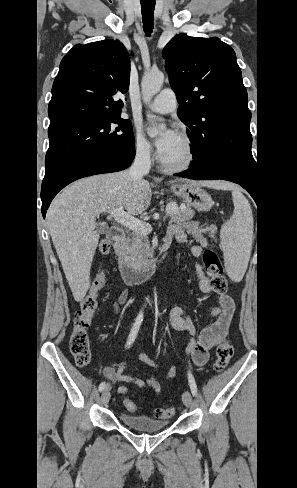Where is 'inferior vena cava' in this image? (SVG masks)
<instances>
[{
  "label": "inferior vena cava",
  "mask_w": 297,
  "mask_h": 488,
  "mask_svg": "<svg viewBox=\"0 0 297 488\" xmlns=\"http://www.w3.org/2000/svg\"><path fill=\"white\" fill-rule=\"evenodd\" d=\"M150 155V146H137L134 162L129 169V174L133 180H141L145 174L149 173L151 168Z\"/></svg>",
  "instance_id": "602c4592"
}]
</instances>
